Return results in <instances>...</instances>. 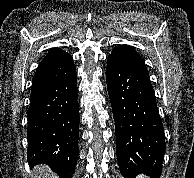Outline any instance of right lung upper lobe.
Segmentation results:
<instances>
[{"label":"right lung upper lobe","mask_w":194,"mask_h":178,"mask_svg":"<svg viewBox=\"0 0 194 178\" xmlns=\"http://www.w3.org/2000/svg\"><path fill=\"white\" fill-rule=\"evenodd\" d=\"M74 70L72 56L62 49L53 48L39 63L32 80V87L61 80Z\"/></svg>","instance_id":"right-lung-upper-lobe-1"}]
</instances>
